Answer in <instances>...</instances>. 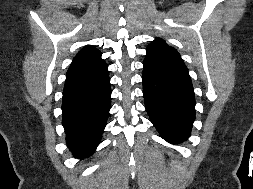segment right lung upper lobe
Here are the masks:
<instances>
[{
  "label": "right lung upper lobe",
  "mask_w": 253,
  "mask_h": 189,
  "mask_svg": "<svg viewBox=\"0 0 253 189\" xmlns=\"http://www.w3.org/2000/svg\"><path fill=\"white\" fill-rule=\"evenodd\" d=\"M107 73V64L101 59V52L94 47L86 46L74 57L66 80L89 81Z\"/></svg>",
  "instance_id": "obj_1"
}]
</instances>
